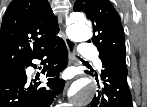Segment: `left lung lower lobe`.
<instances>
[{"label": "left lung lower lobe", "instance_id": "left-lung-lower-lobe-1", "mask_svg": "<svg viewBox=\"0 0 147 107\" xmlns=\"http://www.w3.org/2000/svg\"><path fill=\"white\" fill-rule=\"evenodd\" d=\"M125 57L124 52H113L100 58L103 85L87 107H133Z\"/></svg>", "mask_w": 147, "mask_h": 107}]
</instances>
